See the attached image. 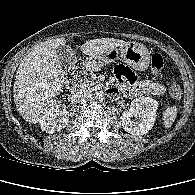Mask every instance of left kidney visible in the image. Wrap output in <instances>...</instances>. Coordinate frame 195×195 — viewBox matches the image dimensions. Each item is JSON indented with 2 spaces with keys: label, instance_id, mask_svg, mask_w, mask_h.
<instances>
[{
  "label": "left kidney",
  "instance_id": "1",
  "mask_svg": "<svg viewBox=\"0 0 195 195\" xmlns=\"http://www.w3.org/2000/svg\"><path fill=\"white\" fill-rule=\"evenodd\" d=\"M157 109L158 102L153 98L139 97L134 99L130 108L121 116V124L124 130L132 135L148 133L156 120Z\"/></svg>",
  "mask_w": 195,
  "mask_h": 195
}]
</instances>
